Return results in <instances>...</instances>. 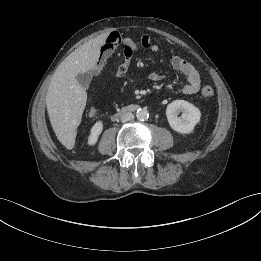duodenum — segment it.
I'll return each instance as SVG.
<instances>
[{
	"instance_id": "obj_1",
	"label": "duodenum",
	"mask_w": 261,
	"mask_h": 261,
	"mask_svg": "<svg viewBox=\"0 0 261 261\" xmlns=\"http://www.w3.org/2000/svg\"><path fill=\"white\" fill-rule=\"evenodd\" d=\"M138 108L139 107L136 106V105H131V106L124 107L115 116H119V115L127 113V112L136 111Z\"/></svg>"
}]
</instances>
